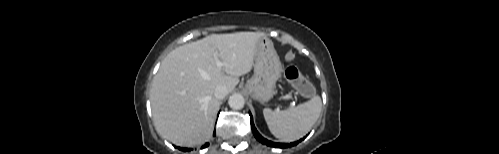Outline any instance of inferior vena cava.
Wrapping results in <instances>:
<instances>
[{"label":"inferior vena cava","instance_id":"obj_1","mask_svg":"<svg viewBox=\"0 0 499 154\" xmlns=\"http://www.w3.org/2000/svg\"><path fill=\"white\" fill-rule=\"evenodd\" d=\"M228 94V89L226 86L224 85H218L216 88H215V91H214V96L218 99V100H221L223 99L226 95Z\"/></svg>","mask_w":499,"mask_h":154}]
</instances>
